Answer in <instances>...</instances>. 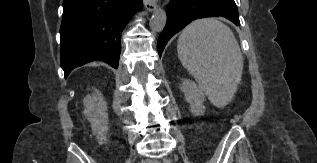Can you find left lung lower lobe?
<instances>
[{"mask_svg":"<svg viewBox=\"0 0 317 163\" xmlns=\"http://www.w3.org/2000/svg\"><path fill=\"white\" fill-rule=\"evenodd\" d=\"M225 17L237 26L240 24L234 0H178L170 2L167 9V23L158 38V52L161 57L168 40L193 20L206 17Z\"/></svg>","mask_w":317,"mask_h":163,"instance_id":"1","label":"left lung lower lobe"}]
</instances>
